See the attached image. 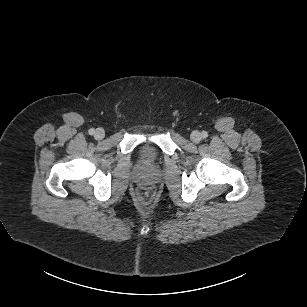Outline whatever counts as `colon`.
<instances>
[{
	"instance_id": "obj_1",
	"label": "colon",
	"mask_w": 307,
	"mask_h": 307,
	"mask_svg": "<svg viewBox=\"0 0 307 307\" xmlns=\"http://www.w3.org/2000/svg\"><path fill=\"white\" fill-rule=\"evenodd\" d=\"M143 193H144L145 196L149 195V192L147 190H145Z\"/></svg>"
}]
</instances>
